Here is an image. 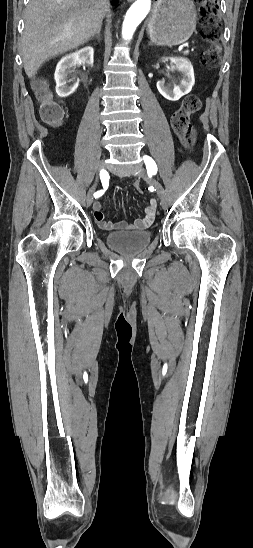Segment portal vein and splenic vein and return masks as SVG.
Instances as JSON below:
<instances>
[{"label": "portal vein and splenic vein", "mask_w": 253, "mask_h": 548, "mask_svg": "<svg viewBox=\"0 0 253 548\" xmlns=\"http://www.w3.org/2000/svg\"><path fill=\"white\" fill-rule=\"evenodd\" d=\"M188 52H189V50H188V49H186V50L184 51V53H188Z\"/></svg>", "instance_id": "18ae733b"}]
</instances>
